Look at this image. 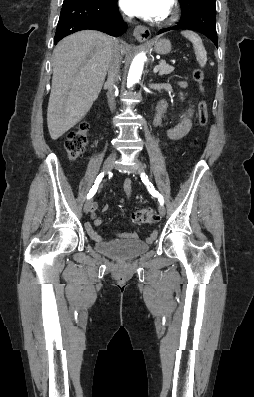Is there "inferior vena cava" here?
Returning a JSON list of instances; mask_svg holds the SVG:
<instances>
[{
	"label": "inferior vena cava",
	"instance_id": "1",
	"mask_svg": "<svg viewBox=\"0 0 254 397\" xmlns=\"http://www.w3.org/2000/svg\"><path fill=\"white\" fill-rule=\"evenodd\" d=\"M120 59H121V51L118 45L113 46L109 56V64H108V103L111 111L115 109V100H114V85L118 82L120 78Z\"/></svg>",
	"mask_w": 254,
	"mask_h": 397
}]
</instances>
